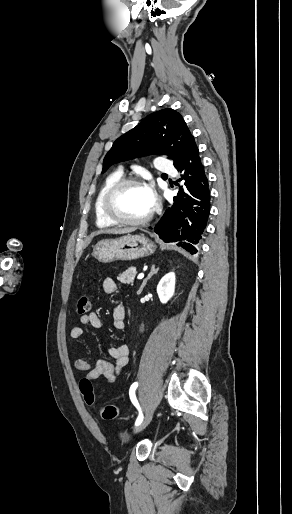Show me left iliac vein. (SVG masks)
Here are the masks:
<instances>
[{"label": "left iliac vein", "instance_id": "1", "mask_svg": "<svg viewBox=\"0 0 292 514\" xmlns=\"http://www.w3.org/2000/svg\"><path fill=\"white\" fill-rule=\"evenodd\" d=\"M153 409L149 408L145 414L144 420L141 422V424L136 428L135 432L139 433L141 432L151 421L153 416Z\"/></svg>", "mask_w": 292, "mask_h": 514}]
</instances>
